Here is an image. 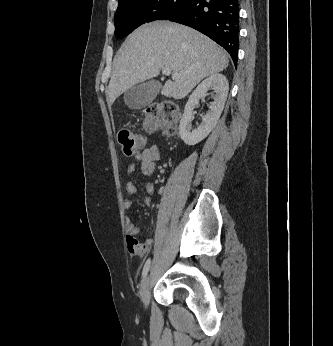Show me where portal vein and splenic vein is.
Wrapping results in <instances>:
<instances>
[{
    "instance_id": "18ae733b",
    "label": "portal vein and splenic vein",
    "mask_w": 333,
    "mask_h": 346,
    "mask_svg": "<svg viewBox=\"0 0 333 346\" xmlns=\"http://www.w3.org/2000/svg\"><path fill=\"white\" fill-rule=\"evenodd\" d=\"M162 74L163 75H166V76H169L171 74V69L169 67H164L162 69ZM173 77L174 78H178L179 77V74H173Z\"/></svg>"
}]
</instances>
